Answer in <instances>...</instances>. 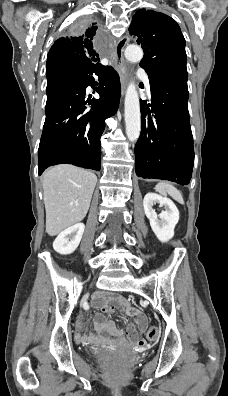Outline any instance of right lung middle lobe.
<instances>
[{
    "label": "right lung middle lobe",
    "mask_w": 228,
    "mask_h": 396,
    "mask_svg": "<svg viewBox=\"0 0 228 396\" xmlns=\"http://www.w3.org/2000/svg\"><path fill=\"white\" fill-rule=\"evenodd\" d=\"M88 19H79L75 22L72 30L75 33H79L84 30L88 26ZM71 74L69 70H56L46 72L47 76V93H50L53 89H55L59 84H61L68 76Z\"/></svg>",
    "instance_id": "1"
}]
</instances>
